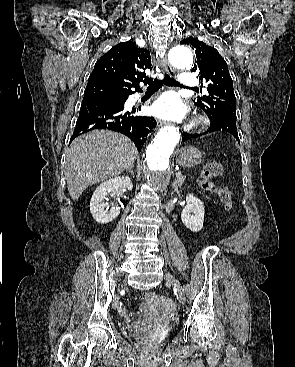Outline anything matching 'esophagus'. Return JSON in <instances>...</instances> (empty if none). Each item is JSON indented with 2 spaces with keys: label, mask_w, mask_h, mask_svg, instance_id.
Here are the masks:
<instances>
[{
  "label": "esophagus",
  "mask_w": 295,
  "mask_h": 367,
  "mask_svg": "<svg viewBox=\"0 0 295 367\" xmlns=\"http://www.w3.org/2000/svg\"><path fill=\"white\" fill-rule=\"evenodd\" d=\"M162 64H163V66H164V68H165V70H166V72L169 74V75H171V76H175L176 75V71H175V69L168 63V61L165 59V58H163L162 59ZM157 124H158V126H160V127H162V126H164L166 123L165 122H163V121H161V120H158L157 121Z\"/></svg>",
  "instance_id": "obj_1"
}]
</instances>
